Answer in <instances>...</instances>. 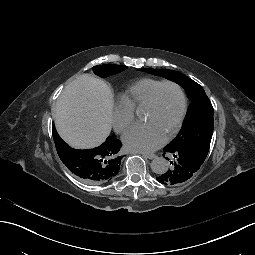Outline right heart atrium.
I'll return each instance as SVG.
<instances>
[{
  "label": "right heart atrium",
  "mask_w": 255,
  "mask_h": 255,
  "mask_svg": "<svg viewBox=\"0 0 255 255\" xmlns=\"http://www.w3.org/2000/svg\"><path fill=\"white\" fill-rule=\"evenodd\" d=\"M135 120L133 111L117 104L111 112V123L118 134L123 133Z\"/></svg>",
  "instance_id": "right-heart-atrium-1"
}]
</instances>
